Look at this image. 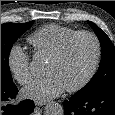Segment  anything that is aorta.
<instances>
[{"mask_svg": "<svg viewBox=\"0 0 115 115\" xmlns=\"http://www.w3.org/2000/svg\"><path fill=\"white\" fill-rule=\"evenodd\" d=\"M36 64H37L36 62L31 63L32 69L35 68ZM44 112H45L44 113L45 115H64L63 107L59 103H56V102L48 103L45 106Z\"/></svg>", "mask_w": 115, "mask_h": 115, "instance_id": "1", "label": "aorta"}]
</instances>
